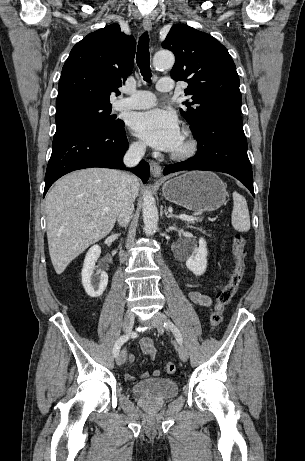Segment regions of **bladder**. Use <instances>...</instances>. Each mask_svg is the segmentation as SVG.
<instances>
[{
  "instance_id": "1",
  "label": "bladder",
  "mask_w": 305,
  "mask_h": 461,
  "mask_svg": "<svg viewBox=\"0 0 305 461\" xmlns=\"http://www.w3.org/2000/svg\"><path fill=\"white\" fill-rule=\"evenodd\" d=\"M135 393L154 399H167L176 396L179 391L177 383L170 378H151L139 381L132 386Z\"/></svg>"
}]
</instances>
